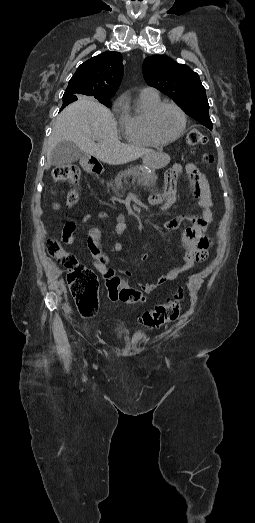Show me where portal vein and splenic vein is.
<instances>
[{
  "label": "portal vein and splenic vein",
  "instance_id": "18ae733b",
  "mask_svg": "<svg viewBox=\"0 0 255 523\" xmlns=\"http://www.w3.org/2000/svg\"><path fill=\"white\" fill-rule=\"evenodd\" d=\"M128 196H133V191H128Z\"/></svg>",
  "mask_w": 255,
  "mask_h": 523
}]
</instances>
